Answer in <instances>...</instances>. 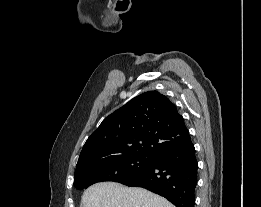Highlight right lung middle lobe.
I'll list each match as a JSON object with an SVG mask.
<instances>
[{
    "instance_id": "dd1d6c3e",
    "label": "right lung middle lobe",
    "mask_w": 261,
    "mask_h": 207,
    "mask_svg": "<svg viewBox=\"0 0 261 207\" xmlns=\"http://www.w3.org/2000/svg\"><path fill=\"white\" fill-rule=\"evenodd\" d=\"M151 160L148 156L126 155L84 165L75 170L74 186L84 189L97 182H119L145 169Z\"/></svg>"
}]
</instances>
